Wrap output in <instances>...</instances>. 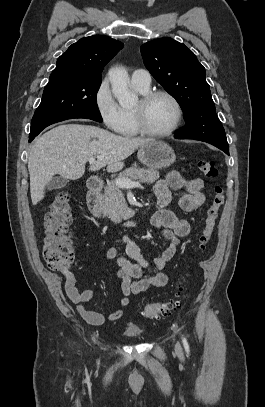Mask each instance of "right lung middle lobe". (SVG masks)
<instances>
[{
    "label": "right lung middle lobe",
    "mask_w": 265,
    "mask_h": 407,
    "mask_svg": "<svg viewBox=\"0 0 265 407\" xmlns=\"http://www.w3.org/2000/svg\"><path fill=\"white\" fill-rule=\"evenodd\" d=\"M100 85L101 80L66 74L51 76L32 118L29 137H35L47 126L66 119L86 118L102 122L96 101Z\"/></svg>",
    "instance_id": "right-lung-middle-lobe-1"
}]
</instances>
